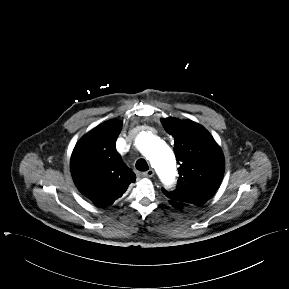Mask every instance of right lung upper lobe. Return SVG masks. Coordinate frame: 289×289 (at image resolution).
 I'll list each match as a JSON object with an SVG mask.
<instances>
[{"instance_id": "right-lung-upper-lobe-1", "label": "right lung upper lobe", "mask_w": 289, "mask_h": 289, "mask_svg": "<svg viewBox=\"0 0 289 289\" xmlns=\"http://www.w3.org/2000/svg\"><path fill=\"white\" fill-rule=\"evenodd\" d=\"M121 127V121L102 123L80 139L71 156L77 188L100 207L113 204L136 179L116 151Z\"/></svg>"}]
</instances>
